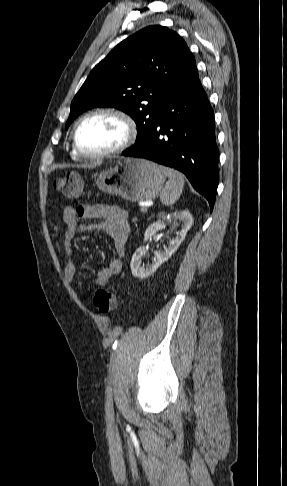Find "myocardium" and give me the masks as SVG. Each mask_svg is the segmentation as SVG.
Returning a JSON list of instances; mask_svg holds the SVG:
<instances>
[{"mask_svg": "<svg viewBox=\"0 0 287 486\" xmlns=\"http://www.w3.org/2000/svg\"><path fill=\"white\" fill-rule=\"evenodd\" d=\"M97 115H111L118 118L125 127V136L120 144H118L117 146L111 149L102 152H87L84 151L79 146L77 141V133L83 122ZM136 137H137V126L134 119L128 113L118 108L102 107V108H97L92 111H89L78 119L72 131V147L75 153L81 157L88 158V159H100V158H106L112 156L114 154H118L126 150L134 143Z\"/></svg>", "mask_w": 287, "mask_h": 486, "instance_id": "1", "label": "myocardium"}]
</instances>
